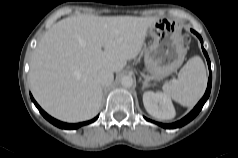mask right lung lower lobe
<instances>
[{"mask_svg":"<svg viewBox=\"0 0 238 158\" xmlns=\"http://www.w3.org/2000/svg\"><path fill=\"white\" fill-rule=\"evenodd\" d=\"M31 97V100L34 102V104L36 105V107L38 108V110L40 111V113L49 121L51 122L52 124H54L55 126L59 127V128H62V129H76L80 126H83V125H87L89 123H92L94 122L98 116L90 121H86V122H82V123H77V124H68V123H63V122H60L54 118H52L51 116H49L46 112H44L41 107L36 103V101L34 100V98L32 97V95H30Z\"/></svg>","mask_w":238,"mask_h":158,"instance_id":"right-lung-lower-lobe-1","label":"right lung lower lobe"}]
</instances>
